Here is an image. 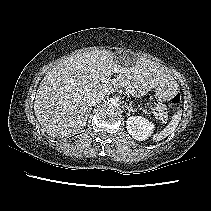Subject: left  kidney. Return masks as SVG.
<instances>
[{"label": "left kidney", "instance_id": "1", "mask_svg": "<svg viewBox=\"0 0 211 211\" xmlns=\"http://www.w3.org/2000/svg\"><path fill=\"white\" fill-rule=\"evenodd\" d=\"M126 125L128 133L139 141L148 139L154 129V124L141 116L128 117Z\"/></svg>", "mask_w": 211, "mask_h": 211}]
</instances>
